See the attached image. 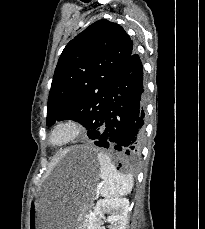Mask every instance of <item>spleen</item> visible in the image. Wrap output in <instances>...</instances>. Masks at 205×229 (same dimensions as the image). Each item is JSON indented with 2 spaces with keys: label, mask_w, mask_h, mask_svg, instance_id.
<instances>
[{
  "label": "spleen",
  "mask_w": 205,
  "mask_h": 229,
  "mask_svg": "<svg viewBox=\"0 0 205 229\" xmlns=\"http://www.w3.org/2000/svg\"><path fill=\"white\" fill-rule=\"evenodd\" d=\"M97 157L101 166L100 177L103 180L102 184L97 189V193L105 198L129 194L134 185L133 177L130 174L125 175L119 173L106 154L100 152Z\"/></svg>",
  "instance_id": "spleen-1"
}]
</instances>
